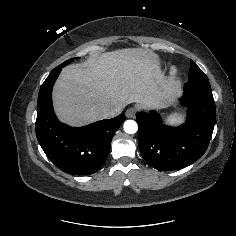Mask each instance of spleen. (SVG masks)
I'll list each match as a JSON object with an SVG mask.
<instances>
[{
	"label": "spleen",
	"mask_w": 236,
	"mask_h": 236,
	"mask_svg": "<svg viewBox=\"0 0 236 236\" xmlns=\"http://www.w3.org/2000/svg\"><path fill=\"white\" fill-rule=\"evenodd\" d=\"M171 120H172V122H178L179 117L174 116Z\"/></svg>",
	"instance_id": "obj_1"
}]
</instances>
